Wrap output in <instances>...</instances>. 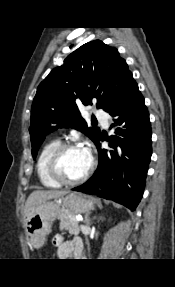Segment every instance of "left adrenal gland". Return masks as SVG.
I'll return each mask as SVG.
<instances>
[{
  "instance_id": "obj_1",
  "label": "left adrenal gland",
  "mask_w": 175,
  "mask_h": 287,
  "mask_svg": "<svg viewBox=\"0 0 175 287\" xmlns=\"http://www.w3.org/2000/svg\"><path fill=\"white\" fill-rule=\"evenodd\" d=\"M85 222H86L87 224L90 222L89 214H86V215H85Z\"/></svg>"
}]
</instances>
